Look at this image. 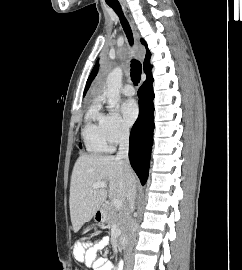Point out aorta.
I'll return each instance as SVG.
<instances>
[{"label":"aorta","instance_id":"obj_1","mask_svg":"<svg viewBox=\"0 0 242 270\" xmlns=\"http://www.w3.org/2000/svg\"><path fill=\"white\" fill-rule=\"evenodd\" d=\"M123 72L120 67H116L108 75L106 80L105 95L108 100V108L113 109L120 101V89L122 86Z\"/></svg>","mask_w":242,"mask_h":270}]
</instances>
